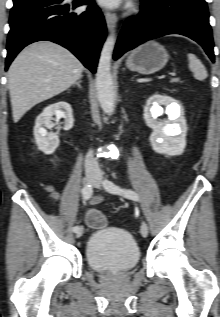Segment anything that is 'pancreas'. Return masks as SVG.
<instances>
[{
    "instance_id": "obj_1",
    "label": "pancreas",
    "mask_w": 220,
    "mask_h": 317,
    "mask_svg": "<svg viewBox=\"0 0 220 317\" xmlns=\"http://www.w3.org/2000/svg\"><path fill=\"white\" fill-rule=\"evenodd\" d=\"M173 82H179V79H173Z\"/></svg>"
}]
</instances>
